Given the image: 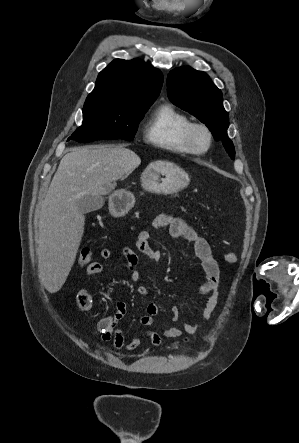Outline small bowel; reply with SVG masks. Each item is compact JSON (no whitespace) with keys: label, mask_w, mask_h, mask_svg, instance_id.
Returning a JSON list of instances; mask_svg holds the SVG:
<instances>
[{"label":"small bowel","mask_w":299,"mask_h":443,"mask_svg":"<svg viewBox=\"0 0 299 443\" xmlns=\"http://www.w3.org/2000/svg\"><path fill=\"white\" fill-rule=\"evenodd\" d=\"M152 227L155 229L162 227H169L170 233L174 238H183L191 242L194 246L195 254L200 260L204 273L205 280L201 285L197 295H189L187 300H193L196 296H207L206 306L202 313L203 322L207 321L212 312L214 311L219 296V267L215 260L211 247L207 240L200 236L197 231L187 224L183 219L166 214L158 215L152 222ZM136 248L147 256L150 263L157 264L162 260V254L158 250H153L150 246V233L147 230L139 232L136 242ZM122 255L125 260L126 268L131 271L130 279L133 283L138 282L142 277V272L137 268L138 256L136 252L130 248L125 247L122 249ZM111 253L108 249L101 250L99 258L102 261H108ZM103 266L100 261L90 263L86 268L87 277L97 275L102 272ZM138 293L143 297H149V289L145 286L138 287ZM92 302V295L87 288H83L78 293L76 298V305L80 310L89 309ZM159 308L155 303H148L145 309V314L141 317V324L146 327H150L154 323V317L157 315ZM127 312V306L124 302H118L116 304V312L114 315H109L102 318L98 322V331L101 339L104 342L112 341L116 349L120 351H133L136 350L142 342V338L145 337L153 346H159L162 344L164 338H177L183 330L188 334H194L198 328L199 323L192 321L185 323L183 328L177 326H171L158 333L156 331L147 330L143 335H136L131 340L127 341L124 334L117 328L118 321L125 316ZM173 319L176 320L179 315V307H172ZM188 338H185L183 342H187ZM181 342H173L171 346L173 348L178 347Z\"/></svg>","instance_id":"c3829d8e"}]
</instances>
